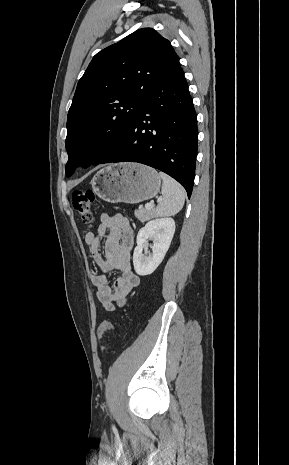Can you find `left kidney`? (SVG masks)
Wrapping results in <instances>:
<instances>
[{"label": "left kidney", "mask_w": 289, "mask_h": 465, "mask_svg": "<svg viewBox=\"0 0 289 465\" xmlns=\"http://www.w3.org/2000/svg\"><path fill=\"white\" fill-rule=\"evenodd\" d=\"M175 233V221L172 218L152 219L137 234V246L133 253L135 272L146 276L155 271L169 249ZM148 240H152L151 252H148ZM145 250V254H143Z\"/></svg>", "instance_id": "5707ae66"}]
</instances>
